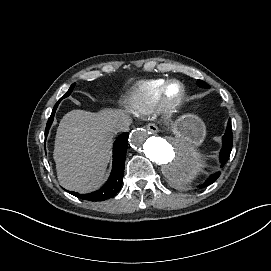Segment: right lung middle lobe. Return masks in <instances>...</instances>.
<instances>
[{
	"label": "right lung middle lobe",
	"mask_w": 271,
	"mask_h": 271,
	"mask_svg": "<svg viewBox=\"0 0 271 271\" xmlns=\"http://www.w3.org/2000/svg\"><path fill=\"white\" fill-rule=\"evenodd\" d=\"M74 85H75V83L71 85L69 90L60 98V100L58 102H60L63 98L68 97L71 94V92H72V90L74 88Z\"/></svg>",
	"instance_id": "1"
}]
</instances>
